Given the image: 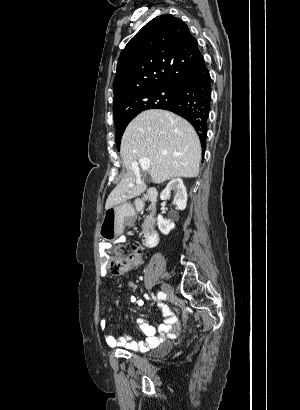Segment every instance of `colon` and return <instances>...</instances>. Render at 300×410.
Masks as SVG:
<instances>
[{
	"label": "colon",
	"mask_w": 300,
	"mask_h": 410,
	"mask_svg": "<svg viewBox=\"0 0 300 410\" xmlns=\"http://www.w3.org/2000/svg\"><path fill=\"white\" fill-rule=\"evenodd\" d=\"M143 257L141 253L134 248L128 255L106 254L101 257L102 266L115 274H123L131 268L141 264Z\"/></svg>",
	"instance_id": "colon-1"
}]
</instances>
